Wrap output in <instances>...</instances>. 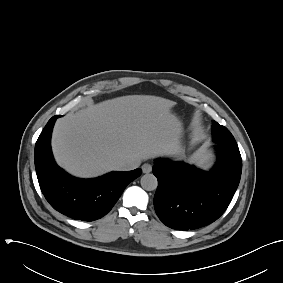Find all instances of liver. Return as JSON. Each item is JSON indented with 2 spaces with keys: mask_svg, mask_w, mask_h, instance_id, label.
I'll use <instances>...</instances> for the list:
<instances>
[{
  "mask_svg": "<svg viewBox=\"0 0 283 283\" xmlns=\"http://www.w3.org/2000/svg\"><path fill=\"white\" fill-rule=\"evenodd\" d=\"M174 101L129 95L89 105L57 120L52 150L57 163L77 177L116 170V162L176 153L181 122Z\"/></svg>",
  "mask_w": 283,
  "mask_h": 283,
  "instance_id": "1",
  "label": "liver"
}]
</instances>
